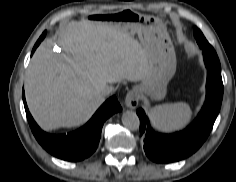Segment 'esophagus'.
Masks as SVG:
<instances>
[{"label": "esophagus", "instance_id": "1", "mask_svg": "<svg viewBox=\"0 0 236 182\" xmlns=\"http://www.w3.org/2000/svg\"><path fill=\"white\" fill-rule=\"evenodd\" d=\"M125 104L130 109H135L139 105V96L136 90H131L127 93Z\"/></svg>", "mask_w": 236, "mask_h": 182}]
</instances>
